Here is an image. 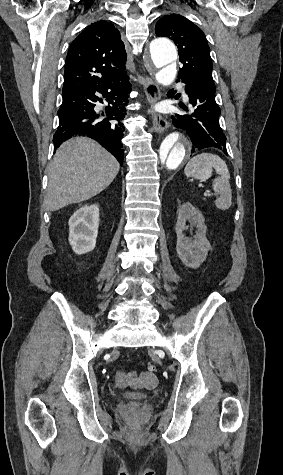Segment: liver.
<instances>
[{
    "mask_svg": "<svg viewBox=\"0 0 283 475\" xmlns=\"http://www.w3.org/2000/svg\"><path fill=\"white\" fill-rule=\"evenodd\" d=\"M119 168L116 158L95 140L72 138L64 142L56 150L48 176L49 212L97 196L110 186Z\"/></svg>",
    "mask_w": 283,
    "mask_h": 475,
    "instance_id": "6515ba94",
    "label": "liver"
}]
</instances>
